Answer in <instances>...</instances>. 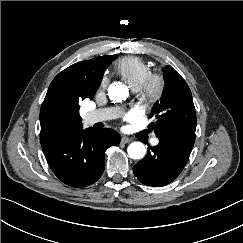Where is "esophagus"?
<instances>
[{
  "instance_id": "34e87169",
  "label": "esophagus",
  "mask_w": 243,
  "mask_h": 243,
  "mask_svg": "<svg viewBox=\"0 0 243 243\" xmlns=\"http://www.w3.org/2000/svg\"><path fill=\"white\" fill-rule=\"evenodd\" d=\"M131 138H129V137H127V136H122V138H121V143H123V144H126V143H129V142H131Z\"/></svg>"
}]
</instances>
